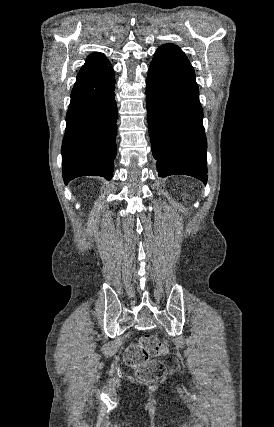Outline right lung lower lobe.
Wrapping results in <instances>:
<instances>
[{
	"instance_id": "obj_1",
	"label": "right lung lower lobe",
	"mask_w": 274,
	"mask_h": 427,
	"mask_svg": "<svg viewBox=\"0 0 274 427\" xmlns=\"http://www.w3.org/2000/svg\"><path fill=\"white\" fill-rule=\"evenodd\" d=\"M113 68L80 70L71 93L62 144L65 184L86 175L112 178L117 106Z\"/></svg>"
}]
</instances>
